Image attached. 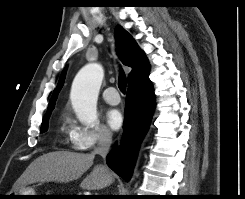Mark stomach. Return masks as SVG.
Instances as JSON below:
<instances>
[{"instance_id": "stomach-1", "label": "stomach", "mask_w": 245, "mask_h": 199, "mask_svg": "<svg viewBox=\"0 0 245 199\" xmlns=\"http://www.w3.org/2000/svg\"><path fill=\"white\" fill-rule=\"evenodd\" d=\"M12 199H34V196H14V195H37L32 188L21 187L10 194Z\"/></svg>"}]
</instances>
